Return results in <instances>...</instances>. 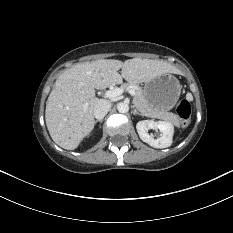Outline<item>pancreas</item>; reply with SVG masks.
<instances>
[{
  "label": "pancreas",
  "instance_id": "obj_1",
  "mask_svg": "<svg viewBox=\"0 0 233 233\" xmlns=\"http://www.w3.org/2000/svg\"><path fill=\"white\" fill-rule=\"evenodd\" d=\"M130 86H133V85L124 84L121 86V89L125 90L129 88ZM133 90L135 91L133 103L136 106V108L141 112L142 115L151 117V118L162 119L164 121L174 124L177 127L180 126L179 118L176 114H173L168 111L159 110L157 108L152 107L148 103L142 89L138 87H133Z\"/></svg>",
  "mask_w": 233,
  "mask_h": 233
}]
</instances>
